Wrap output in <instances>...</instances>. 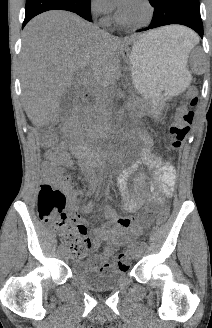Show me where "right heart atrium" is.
I'll list each match as a JSON object with an SVG mask.
<instances>
[{
  "mask_svg": "<svg viewBox=\"0 0 212 328\" xmlns=\"http://www.w3.org/2000/svg\"><path fill=\"white\" fill-rule=\"evenodd\" d=\"M91 9L106 19L112 10V5L109 0H91Z\"/></svg>",
  "mask_w": 212,
  "mask_h": 328,
  "instance_id": "1",
  "label": "right heart atrium"
}]
</instances>
